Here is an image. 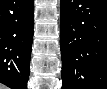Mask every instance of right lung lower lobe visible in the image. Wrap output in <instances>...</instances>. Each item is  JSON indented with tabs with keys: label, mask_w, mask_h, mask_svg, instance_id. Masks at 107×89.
Here are the masks:
<instances>
[{
	"label": "right lung lower lobe",
	"mask_w": 107,
	"mask_h": 89,
	"mask_svg": "<svg viewBox=\"0 0 107 89\" xmlns=\"http://www.w3.org/2000/svg\"><path fill=\"white\" fill-rule=\"evenodd\" d=\"M33 0H0V82L26 89L33 38Z\"/></svg>",
	"instance_id": "obj_1"
}]
</instances>
